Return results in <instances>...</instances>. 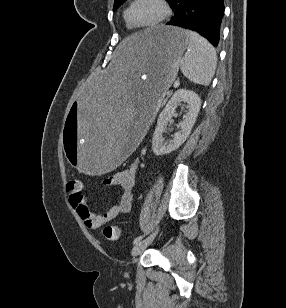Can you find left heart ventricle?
Wrapping results in <instances>:
<instances>
[{
	"mask_svg": "<svg viewBox=\"0 0 286 308\" xmlns=\"http://www.w3.org/2000/svg\"><path fill=\"white\" fill-rule=\"evenodd\" d=\"M162 9L156 0H138L131 9L130 18L136 25L149 24L157 20Z\"/></svg>",
	"mask_w": 286,
	"mask_h": 308,
	"instance_id": "b2bd125f",
	"label": "left heart ventricle"
}]
</instances>
